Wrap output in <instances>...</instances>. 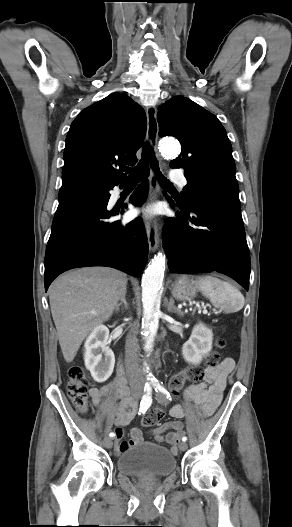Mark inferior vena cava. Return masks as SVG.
I'll return each mask as SVG.
<instances>
[{
  "instance_id": "602c4592",
  "label": "inferior vena cava",
  "mask_w": 292,
  "mask_h": 527,
  "mask_svg": "<svg viewBox=\"0 0 292 527\" xmlns=\"http://www.w3.org/2000/svg\"><path fill=\"white\" fill-rule=\"evenodd\" d=\"M125 366L130 386L132 388L143 386V374L137 365V339L135 335H129L126 340Z\"/></svg>"
}]
</instances>
